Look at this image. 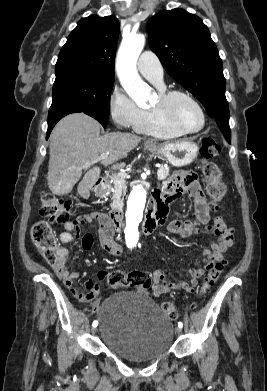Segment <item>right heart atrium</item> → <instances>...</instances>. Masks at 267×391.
I'll list each match as a JSON object with an SVG mask.
<instances>
[{"mask_svg":"<svg viewBox=\"0 0 267 391\" xmlns=\"http://www.w3.org/2000/svg\"><path fill=\"white\" fill-rule=\"evenodd\" d=\"M109 114L112 121L120 128L135 129L144 118V110L118 88L112 92Z\"/></svg>","mask_w":267,"mask_h":391,"instance_id":"obj_1","label":"right heart atrium"}]
</instances>
